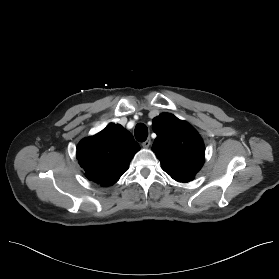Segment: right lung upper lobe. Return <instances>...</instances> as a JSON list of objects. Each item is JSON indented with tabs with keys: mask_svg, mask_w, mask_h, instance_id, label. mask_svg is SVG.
Wrapping results in <instances>:
<instances>
[{
	"mask_svg": "<svg viewBox=\"0 0 279 279\" xmlns=\"http://www.w3.org/2000/svg\"><path fill=\"white\" fill-rule=\"evenodd\" d=\"M140 149L132 134L119 124H110L77 146V159L85 176L101 186L116 183Z\"/></svg>",
	"mask_w": 279,
	"mask_h": 279,
	"instance_id": "1",
	"label": "right lung upper lobe"
}]
</instances>
